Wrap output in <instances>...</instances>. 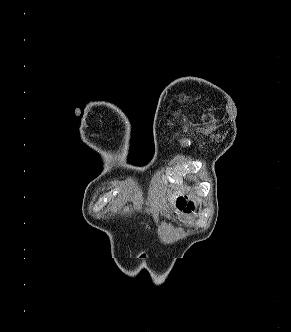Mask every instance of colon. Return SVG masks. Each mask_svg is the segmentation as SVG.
I'll list each match as a JSON object with an SVG mask.
<instances>
[{"mask_svg":"<svg viewBox=\"0 0 291 332\" xmlns=\"http://www.w3.org/2000/svg\"><path fill=\"white\" fill-rule=\"evenodd\" d=\"M184 204H185V199L184 198H180L178 200V208L181 210Z\"/></svg>","mask_w":291,"mask_h":332,"instance_id":"obj_1","label":"colon"}]
</instances>
